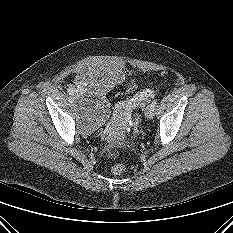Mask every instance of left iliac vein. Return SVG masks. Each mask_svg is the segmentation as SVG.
<instances>
[{
    "label": "left iliac vein",
    "instance_id": "1",
    "mask_svg": "<svg viewBox=\"0 0 233 233\" xmlns=\"http://www.w3.org/2000/svg\"><path fill=\"white\" fill-rule=\"evenodd\" d=\"M145 116L147 119H152L154 117V108H152L150 105L147 107L145 111Z\"/></svg>",
    "mask_w": 233,
    "mask_h": 233
}]
</instances>
